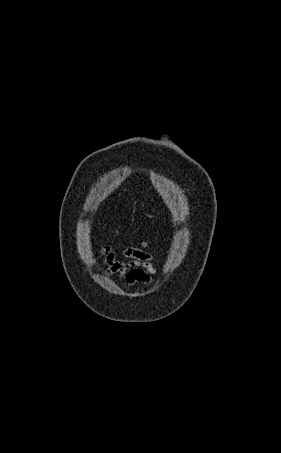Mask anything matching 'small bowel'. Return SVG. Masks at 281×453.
Masks as SVG:
<instances>
[{"mask_svg": "<svg viewBox=\"0 0 281 453\" xmlns=\"http://www.w3.org/2000/svg\"><path fill=\"white\" fill-rule=\"evenodd\" d=\"M156 269L150 254L124 248L107 255L105 273L109 277L121 276L127 284L133 285L150 282V277L156 274Z\"/></svg>", "mask_w": 281, "mask_h": 453, "instance_id": "c3829d8e", "label": "small bowel"}]
</instances>
